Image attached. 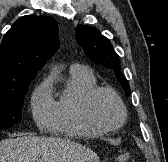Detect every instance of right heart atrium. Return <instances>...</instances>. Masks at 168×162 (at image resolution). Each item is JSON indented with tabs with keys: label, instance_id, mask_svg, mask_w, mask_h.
Segmentation results:
<instances>
[{
	"label": "right heart atrium",
	"instance_id": "1",
	"mask_svg": "<svg viewBox=\"0 0 168 162\" xmlns=\"http://www.w3.org/2000/svg\"><path fill=\"white\" fill-rule=\"evenodd\" d=\"M32 115L41 128L52 126L56 114V102L51 95L49 79L42 81L34 90L31 98Z\"/></svg>",
	"mask_w": 168,
	"mask_h": 162
}]
</instances>
